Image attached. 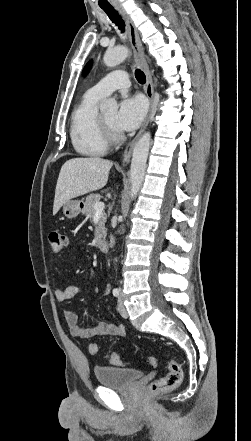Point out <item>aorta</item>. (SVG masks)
<instances>
[{
    "instance_id": "762f6f07",
    "label": "aorta",
    "mask_w": 251,
    "mask_h": 441,
    "mask_svg": "<svg viewBox=\"0 0 251 441\" xmlns=\"http://www.w3.org/2000/svg\"><path fill=\"white\" fill-rule=\"evenodd\" d=\"M127 56L128 50L124 47H118L106 51L103 57V61L106 66L115 67L116 65L124 61ZM117 109L118 105L114 99H108L100 105V110L103 113H115ZM150 139L151 134L149 132L144 133L133 149L132 161L130 166V197L132 200L136 198L144 180Z\"/></svg>"
}]
</instances>
